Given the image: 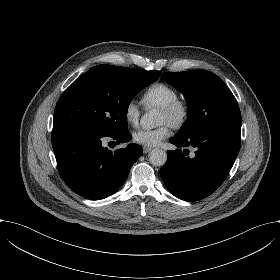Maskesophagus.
<instances>
[{"label": "esophagus", "instance_id": "obj_1", "mask_svg": "<svg viewBox=\"0 0 280 280\" xmlns=\"http://www.w3.org/2000/svg\"><path fill=\"white\" fill-rule=\"evenodd\" d=\"M151 149H152L151 147L144 146V147H143V153L146 154V153H148L149 151H151Z\"/></svg>", "mask_w": 280, "mask_h": 280}]
</instances>
